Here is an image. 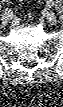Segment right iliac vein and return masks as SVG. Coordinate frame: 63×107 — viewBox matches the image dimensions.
I'll return each mask as SVG.
<instances>
[{"label":"right iliac vein","instance_id":"63e3f726","mask_svg":"<svg viewBox=\"0 0 63 107\" xmlns=\"http://www.w3.org/2000/svg\"><path fill=\"white\" fill-rule=\"evenodd\" d=\"M8 22H9V18H7L6 16H3L2 17V25L6 26L8 24Z\"/></svg>","mask_w":63,"mask_h":107}]
</instances>
